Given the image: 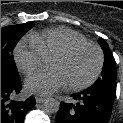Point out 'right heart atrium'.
Masks as SVG:
<instances>
[{
	"label": "right heart atrium",
	"mask_w": 123,
	"mask_h": 123,
	"mask_svg": "<svg viewBox=\"0 0 123 123\" xmlns=\"http://www.w3.org/2000/svg\"><path fill=\"white\" fill-rule=\"evenodd\" d=\"M44 58L40 49L29 38L21 40L14 50L15 63L24 74H31L38 69Z\"/></svg>",
	"instance_id": "d8ad5b80"
}]
</instances>
